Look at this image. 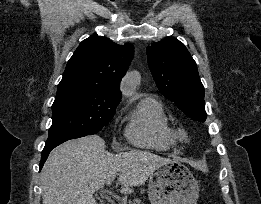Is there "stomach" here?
Listing matches in <instances>:
<instances>
[{
  "label": "stomach",
  "mask_w": 261,
  "mask_h": 204,
  "mask_svg": "<svg viewBox=\"0 0 261 204\" xmlns=\"http://www.w3.org/2000/svg\"><path fill=\"white\" fill-rule=\"evenodd\" d=\"M198 182L190 169L176 160L158 166L150 175L148 197L151 204H196Z\"/></svg>",
  "instance_id": "obj_1"
}]
</instances>
